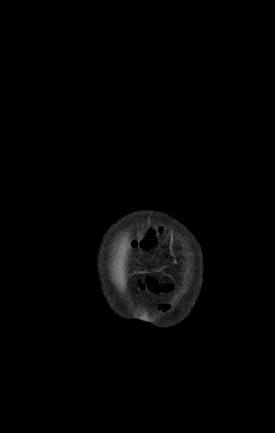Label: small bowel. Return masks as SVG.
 Segmentation results:
<instances>
[{
  "mask_svg": "<svg viewBox=\"0 0 275 433\" xmlns=\"http://www.w3.org/2000/svg\"><path fill=\"white\" fill-rule=\"evenodd\" d=\"M143 287L152 293H169L172 290L173 285L169 283L161 284L155 278L148 277L145 280Z\"/></svg>",
  "mask_w": 275,
  "mask_h": 433,
  "instance_id": "obj_1",
  "label": "small bowel"
}]
</instances>
